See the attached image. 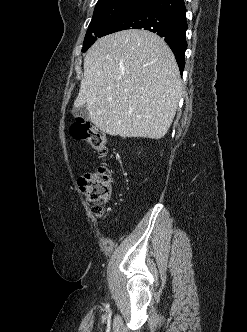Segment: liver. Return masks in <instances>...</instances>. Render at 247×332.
<instances>
[{
	"label": "liver",
	"mask_w": 247,
	"mask_h": 332,
	"mask_svg": "<svg viewBox=\"0 0 247 332\" xmlns=\"http://www.w3.org/2000/svg\"><path fill=\"white\" fill-rule=\"evenodd\" d=\"M182 93L175 57L158 35L124 30L98 39L84 60L74 107L111 136L160 139L174 119Z\"/></svg>",
	"instance_id": "6515ba94"
}]
</instances>
